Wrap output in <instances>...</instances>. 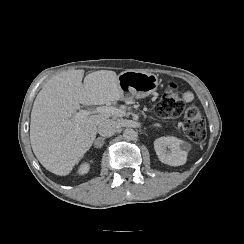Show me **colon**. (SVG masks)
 <instances>
[{
  "instance_id": "obj_1",
  "label": "colon",
  "mask_w": 244,
  "mask_h": 244,
  "mask_svg": "<svg viewBox=\"0 0 244 244\" xmlns=\"http://www.w3.org/2000/svg\"><path fill=\"white\" fill-rule=\"evenodd\" d=\"M160 117H183L185 133L192 142L201 143L206 137V122L197 106L186 105L183 93L170 84L159 97L156 106Z\"/></svg>"
}]
</instances>
